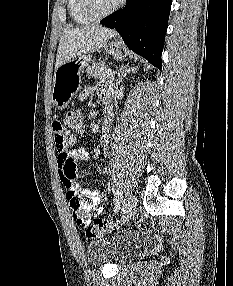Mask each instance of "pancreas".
<instances>
[{
  "instance_id": "pancreas-1",
  "label": "pancreas",
  "mask_w": 233,
  "mask_h": 286,
  "mask_svg": "<svg viewBox=\"0 0 233 286\" xmlns=\"http://www.w3.org/2000/svg\"><path fill=\"white\" fill-rule=\"evenodd\" d=\"M107 66L104 62L95 63L92 66L88 67L86 73L95 79L100 80H111L112 76L106 74Z\"/></svg>"
}]
</instances>
